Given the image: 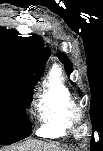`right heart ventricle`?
Instances as JSON below:
<instances>
[{"label": "right heart ventricle", "instance_id": "right-heart-ventricle-1", "mask_svg": "<svg viewBox=\"0 0 103 151\" xmlns=\"http://www.w3.org/2000/svg\"><path fill=\"white\" fill-rule=\"evenodd\" d=\"M71 99L59 69L53 67L39 94L38 111L42 124L38 135L57 138L67 134L70 122L66 118V106Z\"/></svg>", "mask_w": 103, "mask_h": 151}]
</instances>
